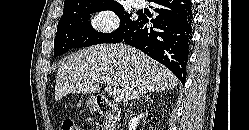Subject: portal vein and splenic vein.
I'll use <instances>...</instances> for the list:
<instances>
[{"mask_svg":"<svg viewBox=\"0 0 249 130\" xmlns=\"http://www.w3.org/2000/svg\"><path fill=\"white\" fill-rule=\"evenodd\" d=\"M101 84H107L111 89H113V99L115 102H120L124 97V92L117 89V84L110 79L97 80Z\"/></svg>","mask_w":249,"mask_h":130,"instance_id":"1","label":"portal vein and splenic vein"}]
</instances>
